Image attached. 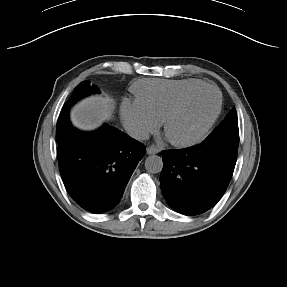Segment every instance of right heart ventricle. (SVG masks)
<instances>
[{"label":"right heart ventricle","instance_id":"e07e8e85","mask_svg":"<svg viewBox=\"0 0 287 287\" xmlns=\"http://www.w3.org/2000/svg\"><path fill=\"white\" fill-rule=\"evenodd\" d=\"M201 84L204 82L197 79H144L135 85L134 90L137 100L161 122L186 91Z\"/></svg>","mask_w":287,"mask_h":287}]
</instances>
